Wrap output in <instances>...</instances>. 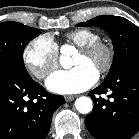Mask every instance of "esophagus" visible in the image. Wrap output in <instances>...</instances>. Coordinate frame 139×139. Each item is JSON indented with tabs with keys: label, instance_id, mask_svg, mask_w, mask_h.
<instances>
[{
	"label": "esophagus",
	"instance_id": "1",
	"mask_svg": "<svg viewBox=\"0 0 139 139\" xmlns=\"http://www.w3.org/2000/svg\"><path fill=\"white\" fill-rule=\"evenodd\" d=\"M74 98H75L74 95H66V96H65V100H66L67 102H70V101L74 100Z\"/></svg>",
	"mask_w": 139,
	"mask_h": 139
}]
</instances>
